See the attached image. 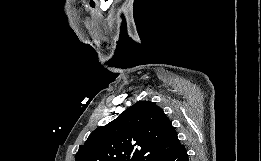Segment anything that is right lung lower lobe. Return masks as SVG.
Returning a JSON list of instances; mask_svg holds the SVG:
<instances>
[{
	"instance_id": "obj_1",
	"label": "right lung lower lobe",
	"mask_w": 261,
	"mask_h": 161,
	"mask_svg": "<svg viewBox=\"0 0 261 161\" xmlns=\"http://www.w3.org/2000/svg\"><path fill=\"white\" fill-rule=\"evenodd\" d=\"M149 161H189L184 145H179L175 149L160 153Z\"/></svg>"
}]
</instances>
